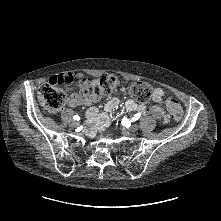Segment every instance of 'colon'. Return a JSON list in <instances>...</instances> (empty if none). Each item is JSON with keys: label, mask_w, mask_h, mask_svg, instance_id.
Masks as SVG:
<instances>
[{"label": "colon", "mask_w": 221, "mask_h": 221, "mask_svg": "<svg viewBox=\"0 0 221 221\" xmlns=\"http://www.w3.org/2000/svg\"><path fill=\"white\" fill-rule=\"evenodd\" d=\"M71 82L72 81L65 84H69ZM117 84L118 79L114 76H101L94 81L84 78L79 81V89L83 96H102L112 93L116 89ZM61 85L63 84L51 85L47 82L39 88V101L49 112L58 111L70 99L67 98L66 91L61 88ZM130 93L133 98L140 102L148 101L153 95L151 86L145 82L133 83L130 87ZM168 107L173 120L180 121L182 118V108L178 102L171 98L168 100Z\"/></svg>", "instance_id": "5ec220e1"}]
</instances>
